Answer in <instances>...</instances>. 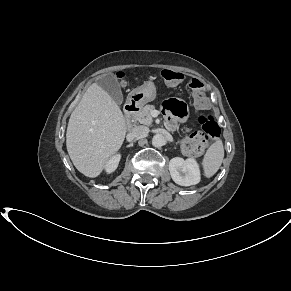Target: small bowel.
<instances>
[{
	"label": "small bowel",
	"instance_id": "obj_1",
	"mask_svg": "<svg viewBox=\"0 0 291 291\" xmlns=\"http://www.w3.org/2000/svg\"><path fill=\"white\" fill-rule=\"evenodd\" d=\"M167 122L170 128H175V116H182L185 112L184 104L178 100H170L165 106Z\"/></svg>",
	"mask_w": 291,
	"mask_h": 291
}]
</instances>
